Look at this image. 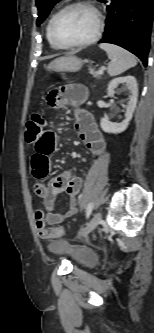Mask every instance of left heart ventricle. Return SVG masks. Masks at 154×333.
<instances>
[{
    "label": "left heart ventricle",
    "instance_id": "left-heart-ventricle-1",
    "mask_svg": "<svg viewBox=\"0 0 154 333\" xmlns=\"http://www.w3.org/2000/svg\"><path fill=\"white\" fill-rule=\"evenodd\" d=\"M96 28L94 14L82 7L64 12L56 21L54 31L64 44L77 43L90 38Z\"/></svg>",
    "mask_w": 154,
    "mask_h": 333
}]
</instances>
